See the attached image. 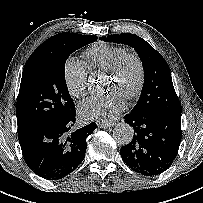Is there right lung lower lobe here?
Wrapping results in <instances>:
<instances>
[{"label":"right lung lower lobe","instance_id":"98d812e1","mask_svg":"<svg viewBox=\"0 0 203 203\" xmlns=\"http://www.w3.org/2000/svg\"><path fill=\"white\" fill-rule=\"evenodd\" d=\"M76 110L62 118L33 126L18 133L28 167L38 176L58 180L72 173L86 152V138L97 128L92 122L76 131Z\"/></svg>","mask_w":203,"mask_h":203}]
</instances>
